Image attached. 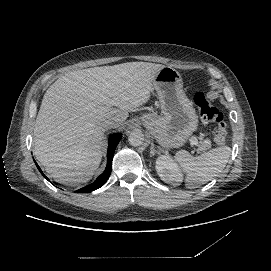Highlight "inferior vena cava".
Wrapping results in <instances>:
<instances>
[{
	"label": "inferior vena cava",
	"mask_w": 271,
	"mask_h": 271,
	"mask_svg": "<svg viewBox=\"0 0 271 271\" xmlns=\"http://www.w3.org/2000/svg\"><path fill=\"white\" fill-rule=\"evenodd\" d=\"M119 126V121L109 120L104 118L101 122V128L106 131L109 128H117Z\"/></svg>",
	"instance_id": "602c4592"
}]
</instances>
